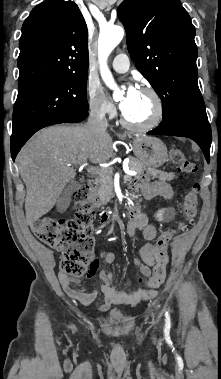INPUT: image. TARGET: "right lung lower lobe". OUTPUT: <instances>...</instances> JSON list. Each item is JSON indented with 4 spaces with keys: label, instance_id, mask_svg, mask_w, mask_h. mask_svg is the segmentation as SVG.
<instances>
[{
    "label": "right lung lower lobe",
    "instance_id": "right-lung-lower-lobe-1",
    "mask_svg": "<svg viewBox=\"0 0 221 379\" xmlns=\"http://www.w3.org/2000/svg\"><path fill=\"white\" fill-rule=\"evenodd\" d=\"M87 115H88V111L83 113L82 115L61 120L59 123H77L85 119ZM27 140L28 139L19 141L16 143H11V156H12L13 161L15 160L17 153L19 152V150L21 149V147L25 144Z\"/></svg>",
    "mask_w": 221,
    "mask_h": 379
}]
</instances>
